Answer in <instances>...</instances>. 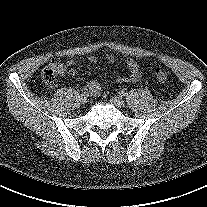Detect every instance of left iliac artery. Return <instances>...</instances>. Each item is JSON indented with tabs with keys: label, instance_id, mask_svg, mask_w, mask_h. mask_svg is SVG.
<instances>
[{
	"label": "left iliac artery",
	"instance_id": "left-iliac-artery-1",
	"mask_svg": "<svg viewBox=\"0 0 207 207\" xmlns=\"http://www.w3.org/2000/svg\"><path fill=\"white\" fill-rule=\"evenodd\" d=\"M120 97H124L126 95V92L124 90H121L119 92Z\"/></svg>",
	"mask_w": 207,
	"mask_h": 207
}]
</instances>
